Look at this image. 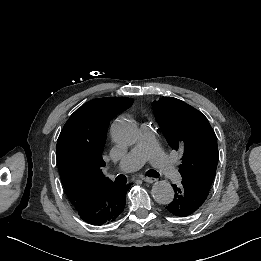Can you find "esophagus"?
I'll use <instances>...</instances> for the list:
<instances>
[{
  "label": "esophagus",
  "mask_w": 261,
  "mask_h": 261,
  "mask_svg": "<svg viewBox=\"0 0 261 261\" xmlns=\"http://www.w3.org/2000/svg\"><path fill=\"white\" fill-rule=\"evenodd\" d=\"M143 180L147 183H154L157 181L156 178L144 177Z\"/></svg>",
  "instance_id": "esophagus-1"
}]
</instances>
